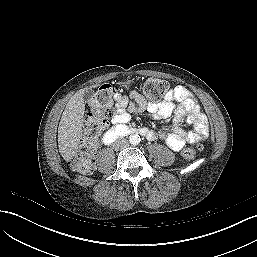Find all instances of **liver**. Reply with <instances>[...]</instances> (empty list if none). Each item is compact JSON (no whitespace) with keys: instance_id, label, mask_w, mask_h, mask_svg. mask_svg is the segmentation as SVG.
<instances>
[{"instance_id":"1","label":"liver","mask_w":257,"mask_h":257,"mask_svg":"<svg viewBox=\"0 0 257 257\" xmlns=\"http://www.w3.org/2000/svg\"><path fill=\"white\" fill-rule=\"evenodd\" d=\"M93 87H97L94 85ZM84 88L76 92L68 101L58 127L59 152L66 162L75 156L82 138L85 103Z\"/></svg>"}]
</instances>
